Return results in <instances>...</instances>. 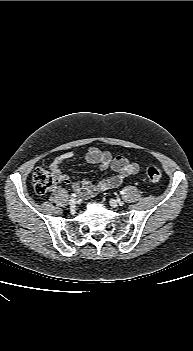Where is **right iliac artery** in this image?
<instances>
[{"label": "right iliac artery", "instance_id": "1", "mask_svg": "<svg viewBox=\"0 0 193 351\" xmlns=\"http://www.w3.org/2000/svg\"><path fill=\"white\" fill-rule=\"evenodd\" d=\"M71 197H72V198H76L77 195H76L75 193H73V194H71Z\"/></svg>", "mask_w": 193, "mask_h": 351}]
</instances>
